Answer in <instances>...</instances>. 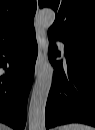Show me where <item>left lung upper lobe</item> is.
<instances>
[{
  "label": "left lung upper lobe",
  "mask_w": 95,
  "mask_h": 130,
  "mask_svg": "<svg viewBox=\"0 0 95 130\" xmlns=\"http://www.w3.org/2000/svg\"><path fill=\"white\" fill-rule=\"evenodd\" d=\"M56 13L48 34L95 50V0H39Z\"/></svg>",
  "instance_id": "left-lung-upper-lobe-1"
}]
</instances>
